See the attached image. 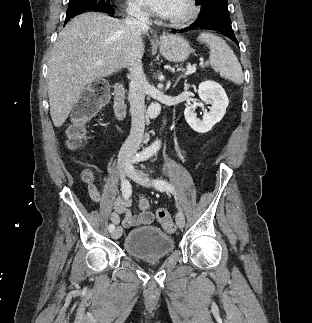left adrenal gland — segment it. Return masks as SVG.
I'll return each mask as SVG.
<instances>
[{"mask_svg":"<svg viewBox=\"0 0 312 323\" xmlns=\"http://www.w3.org/2000/svg\"><path fill=\"white\" fill-rule=\"evenodd\" d=\"M182 76H179V78H177L175 84H173L172 88H175V86H177L179 80H181Z\"/></svg>","mask_w":312,"mask_h":323,"instance_id":"obj_1","label":"left adrenal gland"}]
</instances>
